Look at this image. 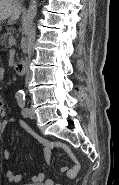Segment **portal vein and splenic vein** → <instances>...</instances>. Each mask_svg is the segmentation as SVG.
<instances>
[{
  "mask_svg": "<svg viewBox=\"0 0 119 185\" xmlns=\"http://www.w3.org/2000/svg\"><path fill=\"white\" fill-rule=\"evenodd\" d=\"M8 43H9V45H10V46H13V45H15V44H16V40L14 39V37H13V36L9 37V41H8Z\"/></svg>",
  "mask_w": 119,
  "mask_h": 185,
  "instance_id": "1",
  "label": "portal vein and splenic vein"
}]
</instances>
